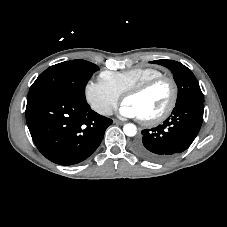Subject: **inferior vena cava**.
Wrapping results in <instances>:
<instances>
[{"mask_svg": "<svg viewBox=\"0 0 227 227\" xmlns=\"http://www.w3.org/2000/svg\"><path fill=\"white\" fill-rule=\"evenodd\" d=\"M101 114L103 115H112V109L110 107H105L101 110Z\"/></svg>", "mask_w": 227, "mask_h": 227, "instance_id": "1", "label": "inferior vena cava"}]
</instances>
